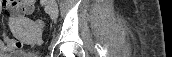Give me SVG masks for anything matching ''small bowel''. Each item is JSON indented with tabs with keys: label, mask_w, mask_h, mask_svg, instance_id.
I'll use <instances>...</instances> for the list:
<instances>
[{
	"label": "small bowel",
	"mask_w": 172,
	"mask_h": 57,
	"mask_svg": "<svg viewBox=\"0 0 172 57\" xmlns=\"http://www.w3.org/2000/svg\"><path fill=\"white\" fill-rule=\"evenodd\" d=\"M35 1L33 0H22V1H13L8 4L18 6L17 9V18L21 19L25 14H29L33 11ZM1 10V4H0ZM23 44L19 40H15L7 36L5 33H2L0 36V52L1 53H15L22 48Z\"/></svg>",
	"instance_id": "1"
}]
</instances>
